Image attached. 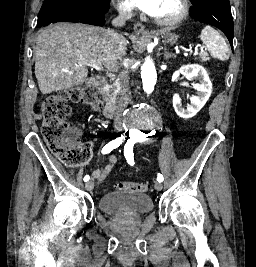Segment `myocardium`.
Masks as SVG:
<instances>
[{
	"mask_svg": "<svg viewBox=\"0 0 256 267\" xmlns=\"http://www.w3.org/2000/svg\"><path fill=\"white\" fill-rule=\"evenodd\" d=\"M170 4L176 8L177 14L171 22L162 23V25H165V26H174L178 24L187 16V13H188L187 6L183 2L179 0H171Z\"/></svg>",
	"mask_w": 256,
	"mask_h": 267,
	"instance_id": "myocardium-1",
	"label": "myocardium"
}]
</instances>
